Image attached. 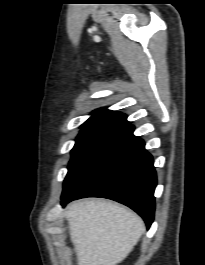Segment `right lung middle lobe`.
Returning <instances> with one entry per match:
<instances>
[{"label": "right lung middle lobe", "mask_w": 205, "mask_h": 265, "mask_svg": "<svg viewBox=\"0 0 205 265\" xmlns=\"http://www.w3.org/2000/svg\"><path fill=\"white\" fill-rule=\"evenodd\" d=\"M127 129L125 126H100L82 129L71 151L63 192L69 190L81 175Z\"/></svg>", "instance_id": "1"}]
</instances>
